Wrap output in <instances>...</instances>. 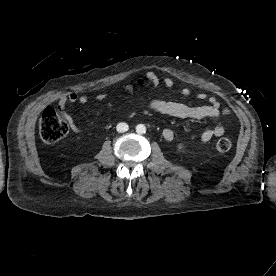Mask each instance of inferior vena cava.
Masks as SVG:
<instances>
[{
  "label": "inferior vena cava",
  "mask_w": 276,
  "mask_h": 276,
  "mask_svg": "<svg viewBox=\"0 0 276 276\" xmlns=\"http://www.w3.org/2000/svg\"><path fill=\"white\" fill-rule=\"evenodd\" d=\"M117 131L120 133L126 132L129 129V126L127 123L121 122L117 124L116 127Z\"/></svg>",
  "instance_id": "1"
}]
</instances>
